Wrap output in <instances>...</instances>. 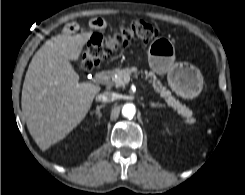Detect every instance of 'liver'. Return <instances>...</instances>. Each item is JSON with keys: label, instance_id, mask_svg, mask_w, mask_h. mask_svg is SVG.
Listing matches in <instances>:
<instances>
[{"label": "liver", "instance_id": "1", "mask_svg": "<svg viewBox=\"0 0 245 195\" xmlns=\"http://www.w3.org/2000/svg\"><path fill=\"white\" fill-rule=\"evenodd\" d=\"M92 32L52 37L35 53L22 88L27 128L43 151L64 139L87 115L100 87L79 83L69 61L80 58Z\"/></svg>", "mask_w": 245, "mask_h": 195}]
</instances>
